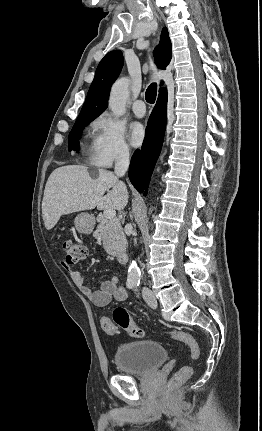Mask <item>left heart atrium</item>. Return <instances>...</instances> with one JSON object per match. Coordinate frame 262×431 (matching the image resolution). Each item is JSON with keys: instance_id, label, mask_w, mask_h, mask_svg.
<instances>
[{"instance_id": "obj_1", "label": "left heart atrium", "mask_w": 262, "mask_h": 431, "mask_svg": "<svg viewBox=\"0 0 262 431\" xmlns=\"http://www.w3.org/2000/svg\"><path fill=\"white\" fill-rule=\"evenodd\" d=\"M128 137L132 146H140L145 138L144 127L140 123H132L129 128Z\"/></svg>"}]
</instances>
